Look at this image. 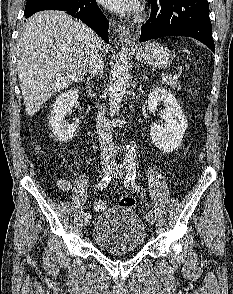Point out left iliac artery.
<instances>
[{"mask_svg":"<svg viewBox=\"0 0 233 294\" xmlns=\"http://www.w3.org/2000/svg\"><path fill=\"white\" fill-rule=\"evenodd\" d=\"M127 168V175L125 178H130V184L132 186V188L135 191L140 190V187L136 184L135 180H136V167H135V163L134 162H130L129 164H127L126 166ZM148 214L153 216V212L149 211Z\"/></svg>","mask_w":233,"mask_h":294,"instance_id":"1","label":"left iliac artery"}]
</instances>
